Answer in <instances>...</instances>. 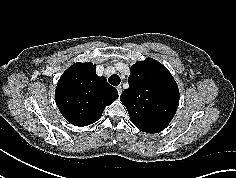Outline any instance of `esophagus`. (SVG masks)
<instances>
[{
    "label": "esophagus",
    "instance_id": "1",
    "mask_svg": "<svg viewBox=\"0 0 236 178\" xmlns=\"http://www.w3.org/2000/svg\"><path fill=\"white\" fill-rule=\"evenodd\" d=\"M117 91H118V94H119V96H120L121 93H122V87H121V86H118V87H117Z\"/></svg>",
    "mask_w": 236,
    "mask_h": 178
}]
</instances>
